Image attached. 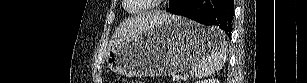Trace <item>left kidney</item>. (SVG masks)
<instances>
[{
	"mask_svg": "<svg viewBox=\"0 0 307 83\" xmlns=\"http://www.w3.org/2000/svg\"><path fill=\"white\" fill-rule=\"evenodd\" d=\"M196 83H219V80L211 78V79L197 81Z\"/></svg>",
	"mask_w": 307,
	"mask_h": 83,
	"instance_id": "left-kidney-1",
	"label": "left kidney"
}]
</instances>
